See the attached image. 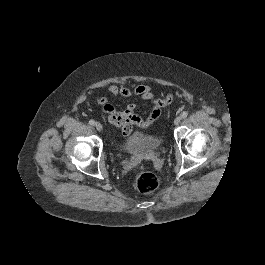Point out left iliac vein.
<instances>
[{"instance_id":"obj_1","label":"left iliac vein","mask_w":265,"mask_h":265,"mask_svg":"<svg viewBox=\"0 0 265 265\" xmlns=\"http://www.w3.org/2000/svg\"><path fill=\"white\" fill-rule=\"evenodd\" d=\"M180 122H181V117H176L174 120V124L179 125Z\"/></svg>"}]
</instances>
